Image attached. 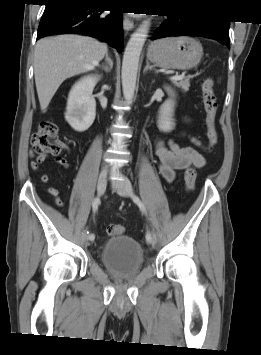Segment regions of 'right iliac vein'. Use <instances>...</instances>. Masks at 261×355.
<instances>
[{"label":"right iliac vein","instance_id":"obj_1","mask_svg":"<svg viewBox=\"0 0 261 355\" xmlns=\"http://www.w3.org/2000/svg\"><path fill=\"white\" fill-rule=\"evenodd\" d=\"M107 176H108V171L102 170L99 175L98 181H97V191H98L99 195H102L105 191V188L107 185ZM81 239L83 241L87 240V235H86L85 231L82 233Z\"/></svg>","mask_w":261,"mask_h":355}]
</instances>
